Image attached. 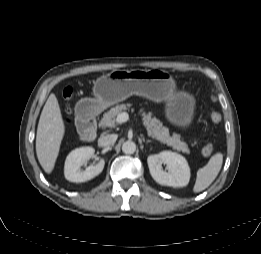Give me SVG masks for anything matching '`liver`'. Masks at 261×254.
I'll return each instance as SVG.
<instances>
[{
    "mask_svg": "<svg viewBox=\"0 0 261 254\" xmlns=\"http://www.w3.org/2000/svg\"><path fill=\"white\" fill-rule=\"evenodd\" d=\"M64 134L65 124L59 103L55 94L52 93L41 112L36 135L37 158L48 174L54 169Z\"/></svg>",
    "mask_w": 261,
    "mask_h": 254,
    "instance_id": "obj_1",
    "label": "liver"
}]
</instances>
